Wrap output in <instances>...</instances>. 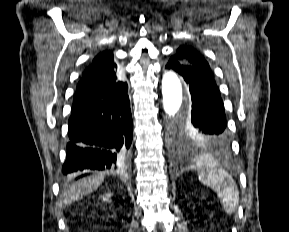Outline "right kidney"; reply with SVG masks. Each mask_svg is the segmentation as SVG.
<instances>
[{
	"instance_id": "ca27d5eb",
	"label": "right kidney",
	"mask_w": 289,
	"mask_h": 232,
	"mask_svg": "<svg viewBox=\"0 0 289 232\" xmlns=\"http://www.w3.org/2000/svg\"><path fill=\"white\" fill-rule=\"evenodd\" d=\"M110 196H111V194H106V195H104L103 197H102V199H103V201H108L109 200V198H110Z\"/></svg>"
}]
</instances>
